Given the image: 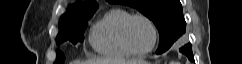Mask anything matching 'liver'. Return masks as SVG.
I'll use <instances>...</instances> for the list:
<instances>
[{"mask_svg": "<svg viewBox=\"0 0 242 64\" xmlns=\"http://www.w3.org/2000/svg\"><path fill=\"white\" fill-rule=\"evenodd\" d=\"M142 60H124V59H92L85 62L76 61L74 64H139Z\"/></svg>", "mask_w": 242, "mask_h": 64, "instance_id": "obj_1", "label": "liver"}]
</instances>
